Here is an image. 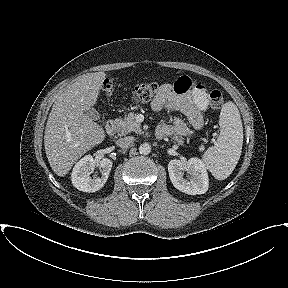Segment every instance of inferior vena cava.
Returning <instances> with one entry per match:
<instances>
[{"label":"inferior vena cava","instance_id":"obj_1","mask_svg":"<svg viewBox=\"0 0 288 288\" xmlns=\"http://www.w3.org/2000/svg\"><path fill=\"white\" fill-rule=\"evenodd\" d=\"M134 141V138L132 136H127V137H124V138H120L116 141V144L119 146V147H122V148H127L129 147Z\"/></svg>","mask_w":288,"mask_h":288}]
</instances>
